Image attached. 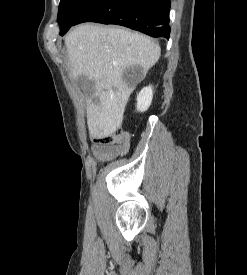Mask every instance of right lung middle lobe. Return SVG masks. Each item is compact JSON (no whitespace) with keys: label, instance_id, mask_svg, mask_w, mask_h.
Returning a JSON list of instances; mask_svg holds the SVG:
<instances>
[{"label":"right lung middle lobe","instance_id":"obj_1","mask_svg":"<svg viewBox=\"0 0 247 275\" xmlns=\"http://www.w3.org/2000/svg\"><path fill=\"white\" fill-rule=\"evenodd\" d=\"M100 0H61L58 11L60 33L68 31L75 20L89 7Z\"/></svg>","mask_w":247,"mask_h":275}]
</instances>
